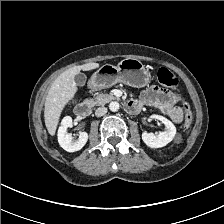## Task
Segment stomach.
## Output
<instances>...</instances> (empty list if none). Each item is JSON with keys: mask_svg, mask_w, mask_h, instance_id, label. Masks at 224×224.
Listing matches in <instances>:
<instances>
[{"mask_svg": "<svg viewBox=\"0 0 224 224\" xmlns=\"http://www.w3.org/2000/svg\"><path fill=\"white\" fill-rule=\"evenodd\" d=\"M150 81V72L135 58L123 59L117 66L105 64L90 78L89 86L94 90L109 88L118 82L132 87H145Z\"/></svg>", "mask_w": 224, "mask_h": 224, "instance_id": "stomach-1", "label": "stomach"}]
</instances>
